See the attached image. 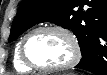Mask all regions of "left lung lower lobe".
<instances>
[{"label":"left lung lower lobe","instance_id":"obj_1","mask_svg":"<svg viewBox=\"0 0 107 75\" xmlns=\"http://www.w3.org/2000/svg\"><path fill=\"white\" fill-rule=\"evenodd\" d=\"M83 5H88L90 13L97 15L98 21L107 16V0H84ZM95 23H90V28L82 37V59L75 68L85 69L96 75H107V40L100 41L94 33Z\"/></svg>","mask_w":107,"mask_h":75}]
</instances>
